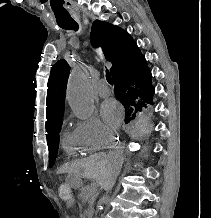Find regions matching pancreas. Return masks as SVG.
I'll list each match as a JSON object with an SVG mask.
<instances>
[{
    "label": "pancreas",
    "mask_w": 211,
    "mask_h": 218,
    "mask_svg": "<svg viewBox=\"0 0 211 218\" xmlns=\"http://www.w3.org/2000/svg\"><path fill=\"white\" fill-rule=\"evenodd\" d=\"M83 190H79V195H81V200H88V205H95L96 201L94 200V186H83Z\"/></svg>",
    "instance_id": "1"
}]
</instances>
